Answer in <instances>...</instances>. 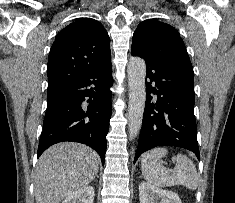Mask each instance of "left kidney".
<instances>
[{
    "instance_id": "5707ae66",
    "label": "left kidney",
    "mask_w": 235,
    "mask_h": 203,
    "mask_svg": "<svg viewBox=\"0 0 235 203\" xmlns=\"http://www.w3.org/2000/svg\"><path fill=\"white\" fill-rule=\"evenodd\" d=\"M139 198L140 203H182L176 193L158 188L148 182L139 184Z\"/></svg>"
}]
</instances>
